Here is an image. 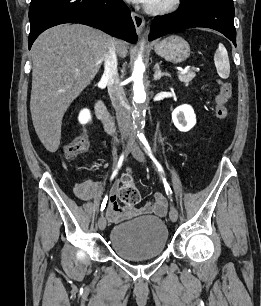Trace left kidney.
Returning <instances> with one entry per match:
<instances>
[{
	"mask_svg": "<svg viewBox=\"0 0 261 306\" xmlns=\"http://www.w3.org/2000/svg\"><path fill=\"white\" fill-rule=\"evenodd\" d=\"M172 120L181 132H188L196 124V116L190 105H181L172 112Z\"/></svg>",
	"mask_w": 261,
	"mask_h": 306,
	"instance_id": "left-kidney-1",
	"label": "left kidney"
}]
</instances>
